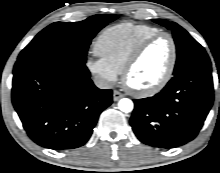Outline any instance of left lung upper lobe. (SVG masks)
Segmentation results:
<instances>
[{"instance_id":"obj_1","label":"left lung upper lobe","mask_w":220,"mask_h":173,"mask_svg":"<svg viewBox=\"0 0 220 173\" xmlns=\"http://www.w3.org/2000/svg\"><path fill=\"white\" fill-rule=\"evenodd\" d=\"M154 22L165 26L173 33L177 47V60L173 72L174 76L191 69L211 66L205 49L181 26L174 22L169 24L168 21L163 19H155Z\"/></svg>"}]
</instances>
